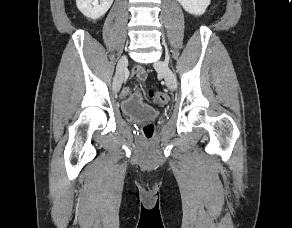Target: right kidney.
Returning a JSON list of instances; mask_svg holds the SVG:
<instances>
[{"instance_id": "right-kidney-1", "label": "right kidney", "mask_w": 292, "mask_h": 228, "mask_svg": "<svg viewBox=\"0 0 292 228\" xmlns=\"http://www.w3.org/2000/svg\"><path fill=\"white\" fill-rule=\"evenodd\" d=\"M113 0H76L79 11L89 19L102 17L111 7Z\"/></svg>"}]
</instances>
